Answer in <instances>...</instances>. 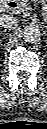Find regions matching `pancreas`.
<instances>
[{
    "label": "pancreas",
    "instance_id": "1",
    "mask_svg": "<svg viewBox=\"0 0 47 129\" xmlns=\"http://www.w3.org/2000/svg\"><path fill=\"white\" fill-rule=\"evenodd\" d=\"M19 1H20V3H21L22 8H26V7H27V4H26V3L21 2L22 0H19Z\"/></svg>",
    "mask_w": 47,
    "mask_h": 129
}]
</instances>
